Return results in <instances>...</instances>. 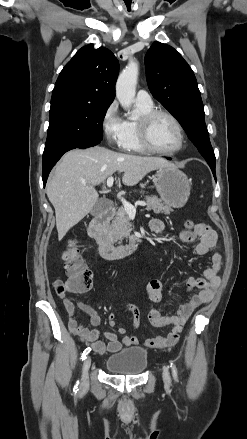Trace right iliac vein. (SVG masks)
Segmentation results:
<instances>
[{"mask_svg":"<svg viewBox=\"0 0 247 439\" xmlns=\"http://www.w3.org/2000/svg\"><path fill=\"white\" fill-rule=\"evenodd\" d=\"M91 365V357L87 356L83 363L82 367V386H86L88 384V372Z\"/></svg>","mask_w":247,"mask_h":439,"instance_id":"obj_1","label":"right iliac vein"}]
</instances>
